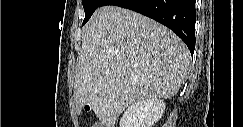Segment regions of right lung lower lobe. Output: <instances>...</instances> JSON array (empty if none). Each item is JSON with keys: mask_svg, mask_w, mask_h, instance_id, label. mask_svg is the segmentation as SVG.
Returning a JSON list of instances; mask_svg holds the SVG:
<instances>
[{"mask_svg": "<svg viewBox=\"0 0 243 127\" xmlns=\"http://www.w3.org/2000/svg\"><path fill=\"white\" fill-rule=\"evenodd\" d=\"M127 8L170 28L188 46L195 49V0H105L102 6Z\"/></svg>", "mask_w": 243, "mask_h": 127, "instance_id": "obj_1", "label": "right lung lower lobe"}]
</instances>
